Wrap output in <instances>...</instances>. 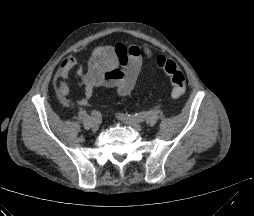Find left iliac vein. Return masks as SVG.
<instances>
[{
	"label": "left iliac vein",
	"mask_w": 254,
	"mask_h": 216,
	"mask_svg": "<svg viewBox=\"0 0 254 216\" xmlns=\"http://www.w3.org/2000/svg\"><path fill=\"white\" fill-rule=\"evenodd\" d=\"M119 119L123 123H125L126 125L130 126L131 128H133L135 130H141L142 129V125L139 122L132 119L130 116L121 115V116H119Z\"/></svg>",
	"instance_id": "1"
}]
</instances>
